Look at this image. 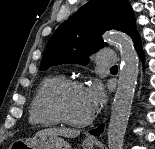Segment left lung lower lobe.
I'll use <instances>...</instances> for the list:
<instances>
[{
  "instance_id": "0a47b994",
  "label": "left lung lower lobe",
  "mask_w": 155,
  "mask_h": 149,
  "mask_svg": "<svg viewBox=\"0 0 155 149\" xmlns=\"http://www.w3.org/2000/svg\"><path fill=\"white\" fill-rule=\"evenodd\" d=\"M132 40L134 42V47L138 51L140 57L142 59H144V54H143L142 47H141V41H140V37H139L137 31L132 35ZM103 127H104V125H101L97 129L89 131V133H91L95 136H99L103 131Z\"/></svg>"
}]
</instances>
